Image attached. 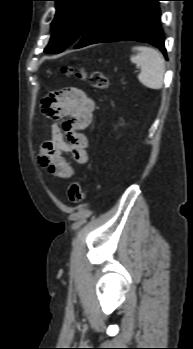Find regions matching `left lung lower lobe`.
I'll use <instances>...</instances> for the list:
<instances>
[{"mask_svg": "<svg viewBox=\"0 0 193 349\" xmlns=\"http://www.w3.org/2000/svg\"><path fill=\"white\" fill-rule=\"evenodd\" d=\"M159 1L161 0H109L85 29L74 48L133 40L155 45L167 57L160 27Z\"/></svg>", "mask_w": 193, "mask_h": 349, "instance_id": "left-lung-lower-lobe-1", "label": "left lung lower lobe"}]
</instances>
